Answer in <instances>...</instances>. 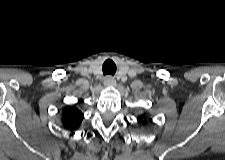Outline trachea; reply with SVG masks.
I'll use <instances>...</instances> for the list:
<instances>
[{
	"instance_id": "obj_1",
	"label": "trachea",
	"mask_w": 225,
	"mask_h": 160,
	"mask_svg": "<svg viewBox=\"0 0 225 160\" xmlns=\"http://www.w3.org/2000/svg\"><path fill=\"white\" fill-rule=\"evenodd\" d=\"M104 75H114L116 72V66L112 61H106L102 67Z\"/></svg>"
}]
</instances>
